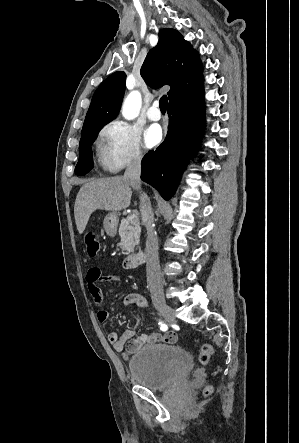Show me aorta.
<instances>
[{
  "instance_id": "1",
  "label": "aorta",
  "mask_w": 299,
  "mask_h": 443,
  "mask_svg": "<svg viewBox=\"0 0 299 443\" xmlns=\"http://www.w3.org/2000/svg\"><path fill=\"white\" fill-rule=\"evenodd\" d=\"M141 100V94L138 91H133L126 97L122 107V114L127 120L138 116Z\"/></svg>"
}]
</instances>
